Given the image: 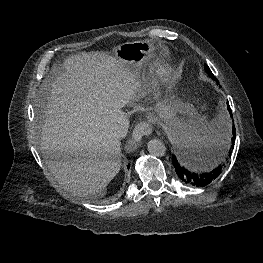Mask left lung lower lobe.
<instances>
[{
	"label": "left lung lower lobe",
	"instance_id": "left-lung-lower-lobe-1",
	"mask_svg": "<svg viewBox=\"0 0 263 263\" xmlns=\"http://www.w3.org/2000/svg\"><path fill=\"white\" fill-rule=\"evenodd\" d=\"M227 108L230 112V115L232 116L231 108L228 102H227ZM235 135H236L235 126L233 125L231 142L229 141V144L223 154V156H226V160H223V162L220 163L218 166H216L211 170H207L206 172L202 170H198L192 164V161L196 160L195 154L187 153L182 150L185 153V156L176 157L175 155H173L172 163L178 177L184 183L194 187H206L209 184L213 183L215 180L219 178V176L221 175L222 171L226 166V162L228 158L231 156V150L233 149L235 142ZM223 156L220 160L223 159Z\"/></svg>",
	"mask_w": 263,
	"mask_h": 263
}]
</instances>
